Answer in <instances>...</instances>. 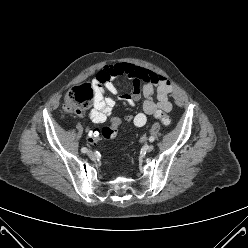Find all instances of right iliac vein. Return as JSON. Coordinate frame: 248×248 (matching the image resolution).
<instances>
[{
	"mask_svg": "<svg viewBox=\"0 0 248 248\" xmlns=\"http://www.w3.org/2000/svg\"><path fill=\"white\" fill-rule=\"evenodd\" d=\"M87 155H88L90 158H92V157L94 156V153H93L92 150H88V151H87Z\"/></svg>",
	"mask_w": 248,
	"mask_h": 248,
	"instance_id": "1",
	"label": "right iliac vein"
}]
</instances>
